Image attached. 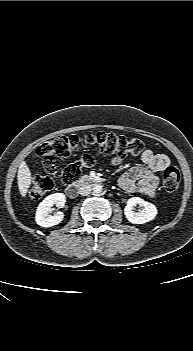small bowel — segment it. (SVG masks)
I'll return each instance as SVG.
<instances>
[{
  "label": "small bowel",
  "mask_w": 193,
  "mask_h": 351,
  "mask_svg": "<svg viewBox=\"0 0 193 351\" xmlns=\"http://www.w3.org/2000/svg\"><path fill=\"white\" fill-rule=\"evenodd\" d=\"M123 162L122 157L114 156L111 164L119 166ZM141 166L128 169L119 179V186L126 192L137 193L149 198L157 196L158 176L157 172L163 170L169 163L165 154H156L147 149L141 155Z\"/></svg>",
  "instance_id": "c3829d8e"
}]
</instances>
